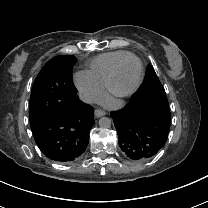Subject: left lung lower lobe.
<instances>
[{
    "label": "left lung lower lobe",
    "mask_w": 208,
    "mask_h": 208,
    "mask_svg": "<svg viewBox=\"0 0 208 208\" xmlns=\"http://www.w3.org/2000/svg\"><path fill=\"white\" fill-rule=\"evenodd\" d=\"M118 133L119 146L132 160H147L164 146L171 123L170 111L162 106L130 101L110 113Z\"/></svg>",
    "instance_id": "1"
}]
</instances>
